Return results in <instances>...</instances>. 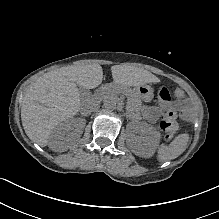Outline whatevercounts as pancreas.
Here are the masks:
<instances>
[{"mask_svg": "<svg viewBox=\"0 0 219 219\" xmlns=\"http://www.w3.org/2000/svg\"><path fill=\"white\" fill-rule=\"evenodd\" d=\"M105 99L115 100L119 95L125 96L128 99L127 114L132 120H138L140 113L138 112L140 102V95L136 94L131 88L118 87V86H106L102 89Z\"/></svg>", "mask_w": 219, "mask_h": 219, "instance_id": "cf45deb5", "label": "pancreas"}]
</instances>
